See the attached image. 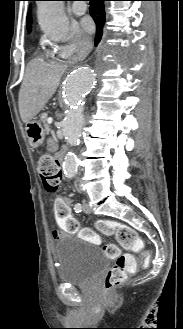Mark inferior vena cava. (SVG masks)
<instances>
[{
  "instance_id": "inferior-vena-cava-1",
  "label": "inferior vena cava",
  "mask_w": 183,
  "mask_h": 329,
  "mask_svg": "<svg viewBox=\"0 0 183 329\" xmlns=\"http://www.w3.org/2000/svg\"><path fill=\"white\" fill-rule=\"evenodd\" d=\"M84 52H85V50H82V51L80 52V54H79V57H80V56H83V55H84Z\"/></svg>"
}]
</instances>
